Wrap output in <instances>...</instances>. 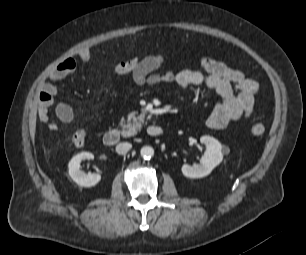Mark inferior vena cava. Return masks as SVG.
Returning <instances> with one entry per match:
<instances>
[{"label": "inferior vena cava", "mask_w": 306, "mask_h": 255, "mask_svg": "<svg viewBox=\"0 0 306 255\" xmlns=\"http://www.w3.org/2000/svg\"><path fill=\"white\" fill-rule=\"evenodd\" d=\"M131 147H132V145L130 143H127V142L119 143L116 146V152L118 154L124 155L131 149Z\"/></svg>", "instance_id": "1"}]
</instances>
